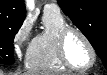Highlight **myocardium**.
Here are the masks:
<instances>
[{
	"label": "myocardium",
	"instance_id": "obj_1",
	"mask_svg": "<svg viewBox=\"0 0 107 75\" xmlns=\"http://www.w3.org/2000/svg\"><path fill=\"white\" fill-rule=\"evenodd\" d=\"M71 33H76L77 35H79L90 50L91 62L86 66H83V67L75 66L74 64L71 63V61L69 60L67 56L66 41H67L68 36ZM57 53H58L60 62L66 68L74 70V71H79V72L88 71L89 69H91L95 65L96 59H97L96 50L92 42L89 40V38L80 29L72 27V26H66L59 32L58 37H57Z\"/></svg>",
	"mask_w": 107,
	"mask_h": 75
}]
</instances>
